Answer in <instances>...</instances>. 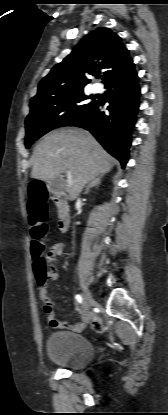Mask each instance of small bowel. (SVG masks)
<instances>
[{"instance_id":"small-bowel-1","label":"small bowel","mask_w":168,"mask_h":415,"mask_svg":"<svg viewBox=\"0 0 168 415\" xmlns=\"http://www.w3.org/2000/svg\"><path fill=\"white\" fill-rule=\"evenodd\" d=\"M63 253V246L61 243H56L51 246L49 250V257L51 260H55L60 257ZM58 279V274L55 271L50 272V280L55 281ZM39 295L43 302V310L47 315L48 324L54 328H72L75 330L82 329L84 327V323H68L66 321H62L56 318L53 306L55 302L48 297V292L45 286H40Z\"/></svg>"}]
</instances>
